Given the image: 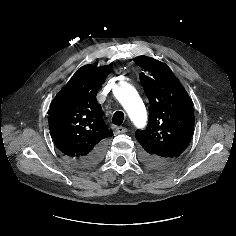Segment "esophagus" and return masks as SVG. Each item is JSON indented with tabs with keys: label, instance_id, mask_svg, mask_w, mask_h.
Listing matches in <instances>:
<instances>
[{
	"label": "esophagus",
	"instance_id": "34e87169",
	"mask_svg": "<svg viewBox=\"0 0 236 236\" xmlns=\"http://www.w3.org/2000/svg\"><path fill=\"white\" fill-rule=\"evenodd\" d=\"M126 132H127V129L122 126L116 127V129H115L116 134H122V133H126Z\"/></svg>",
	"mask_w": 236,
	"mask_h": 236
}]
</instances>
